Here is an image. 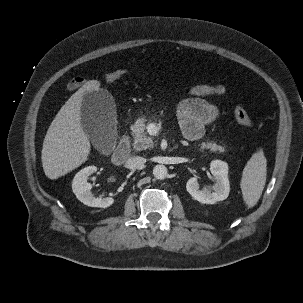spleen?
Listing matches in <instances>:
<instances>
[{
	"instance_id": "3e777b00",
	"label": "spleen",
	"mask_w": 303,
	"mask_h": 303,
	"mask_svg": "<svg viewBox=\"0 0 303 303\" xmlns=\"http://www.w3.org/2000/svg\"><path fill=\"white\" fill-rule=\"evenodd\" d=\"M267 160L262 149L252 155L245 165L241 178L243 200L248 208H252L261 197L266 183Z\"/></svg>"
}]
</instances>
